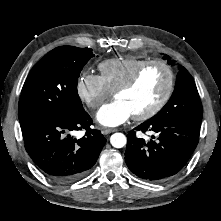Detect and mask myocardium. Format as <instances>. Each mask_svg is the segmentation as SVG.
<instances>
[{
  "label": "myocardium",
  "mask_w": 221,
  "mask_h": 221,
  "mask_svg": "<svg viewBox=\"0 0 221 221\" xmlns=\"http://www.w3.org/2000/svg\"><path fill=\"white\" fill-rule=\"evenodd\" d=\"M154 65L160 66L165 70L166 75H167V85H166L164 92L160 96V98L157 100V102L150 109H148L147 111H145L143 113L133 115V118L138 121H144V120L151 119L152 117L157 115L163 109V107L167 104V102L169 101V99L174 91V87H175V75H174V72H173L172 68L170 67V65H168L166 62H164L162 60H158V59L147 60L142 65H140L125 82H123L121 85H119L114 90L115 97L118 94H120L124 91H127L128 89L133 87L138 82L141 75L149 67L154 66Z\"/></svg>",
  "instance_id": "myocardium-1"
}]
</instances>
